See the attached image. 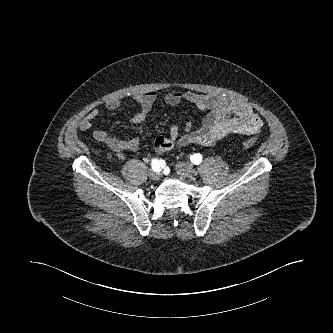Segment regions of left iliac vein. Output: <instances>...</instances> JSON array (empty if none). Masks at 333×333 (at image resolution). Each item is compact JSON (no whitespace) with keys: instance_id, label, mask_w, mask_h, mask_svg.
<instances>
[{"instance_id":"4c4485c4","label":"left iliac vein","mask_w":333,"mask_h":333,"mask_svg":"<svg viewBox=\"0 0 333 333\" xmlns=\"http://www.w3.org/2000/svg\"><path fill=\"white\" fill-rule=\"evenodd\" d=\"M175 169L178 174L185 178H192L193 177V168L189 163L185 162H178L175 165Z\"/></svg>"}]
</instances>
